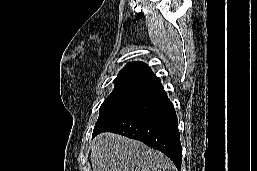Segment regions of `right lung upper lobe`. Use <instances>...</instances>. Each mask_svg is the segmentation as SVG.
<instances>
[{
    "mask_svg": "<svg viewBox=\"0 0 257 171\" xmlns=\"http://www.w3.org/2000/svg\"><path fill=\"white\" fill-rule=\"evenodd\" d=\"M115 88L134 89L147 86L148 89L160 84V79L147 64L136 61L128 63L113 81Z\"/></svg>",
    "mask_w": 257,
    "mask_h": 171,
    "instance_id": "1",
    "label": "right lung upper lobe"
}]
</instances>
